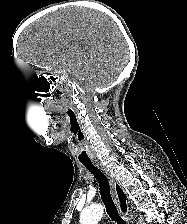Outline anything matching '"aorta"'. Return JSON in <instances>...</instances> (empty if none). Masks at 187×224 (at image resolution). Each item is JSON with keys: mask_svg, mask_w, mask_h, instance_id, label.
I'll return each mask as SVG.
<instances>
[{"mask_svg": "<svg viewBox=\"0 0 187 224\" xmlns=\"http://www.w3.org/2000/svg\"><path fill=\"white\" fill-rule=\"evenodd\" d=\"M104 213V207L101 205H94L89 208L83 209L80 214V224H98ZM142 223V219L140 220Z\"/></svg>", "mask_w": 187, "mask_h": 224, "instance_id": "1", "label": "aorta"}]
</instances>
